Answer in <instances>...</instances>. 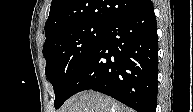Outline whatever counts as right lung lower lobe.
I'll return each mask as SVG.
<instances>
[{"label": "right lung lower lobe", "instance_id": "98d812e1", "mask_svg": "<svg viewBox=\"0 0 193 112\" xmlns=\"http://www.w3.org/2000/svg\"><path fill=\"white\" fill-rule=\"evenodd\" d=\"M158 37L151 0L107 26L79 72L70 97L92 89L137 112H155L157 105Z\"/></svg>", "mask_w": 193, "mask_h": 112}]
</instances>
